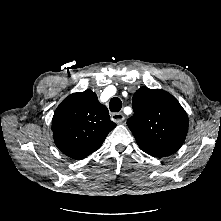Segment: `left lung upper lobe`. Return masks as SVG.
Here are the masks:
<instances>
[{"label": "left lung upper lobe", "mask_w": 221, "mask_h": 221, "mask_svg": "<svg viewBox=\"0 0 221 221\" xmlns=\"http://www.w3.org/2000/svg\"><path fill=\"white\" fill-rule=\"evenodd\" d=\"M133 111L127 124L142 151L161 158L180 149L189 120L174 96L164 90L141 87L133 96Z\"/></svg>", "instance_id": "1"}]
</instances>
